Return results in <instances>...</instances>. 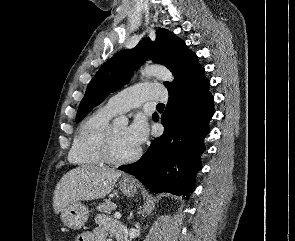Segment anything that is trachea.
Returning a JSON list of instances; mask_svg holds the SVG:
<instances>
[{
  "instance_id": "obj_1",
  "label": "trachea",
  "mask_w": 295,
  "mask_h": 241,
  "mask_svg": "<svg viewBox=\"0 0 295 241\" xmlns=\"http://www.w3.org/2000/svg\"><path fill=\"white\" fill-rule=\"evenodd\" d=\"M157 107L164 108V104H163V103H159V104L157 105Z\"/></svg>"
}]
</instances>
